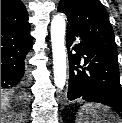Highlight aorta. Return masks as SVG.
<instances>
[{
  "label": "aorta",
  "mask_w": 122,
  "mask_h": 123,
  "mask_svg": "<svg viewBox=\"0 0 122 123\" xmlns=\"http://www.w3.org/2000/svg\"><path fill=\"white\" fill-rule=\"evenodd\" d=\"M65 30V18L60 14L54 16L51 21L54 83L61 90L66 82Z\"/></svg>",
  "instance_id": "aorta-1"
}]
</instances>
